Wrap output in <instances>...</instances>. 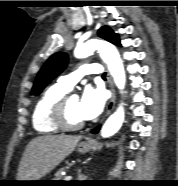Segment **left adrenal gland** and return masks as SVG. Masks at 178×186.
Here are the masks:
<instances>
[{"label":"left adrenal gland","instance_id":"1","mask_svg":"<svg viewBox=\"0 0 178 186\" xmlns=\"http://www.w3.org/2000/svg\"><path fill=\"white\" fill-rule=\"evenodd\" d=\"M87 178V176L83 175L81 173V169L78 171V181H85V179Z\"/></svg>","mask_w":178,"mask_h":186}]
</instances>
